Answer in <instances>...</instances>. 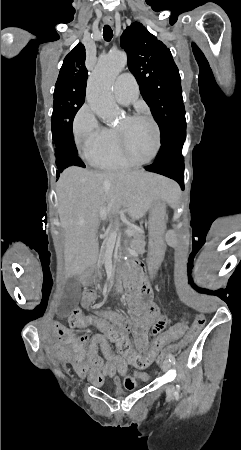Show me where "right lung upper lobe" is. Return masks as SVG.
<instances>
[{"instance_id":"right-lung-upper-lobe-1","label":"right lung upper lobe","mask_w":241,"mask_h":450,"mask_svg":"<svg viewBox=\"0 0 241 450\" xmlns=\"http://www.w3.org/2000/svg\"><path fill=\"white\" fill-rule=\"evenodd\" d=\"M85 47L79 43L64 59L56 83L71 82L86 86Z\"/></svg>"}]
</instances>
